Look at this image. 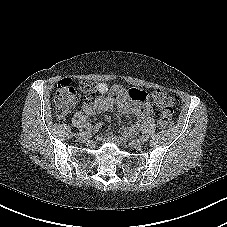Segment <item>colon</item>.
I'll use <instances>...</instances> for the list:
<instances>
[{
	"mask_svg": "<svg viewBox=\"0 0 227 227\" xmlns=\"http://www.w3.org/2000/svg\"><path fill=\"white\" fill-rule=\"evenodd\" d=\"M79 89L85 98H91L98 92V84L92 81L80 83ZM77 96L75 88L69 79L58 83L54 98L55 115L59 121H64L76 104ZM155 106L162 109L158 123L162 128H168L173 123L172 107L174 99L166 91L157 89L153 92Z\"/></svg>",
	"mask_w": 227,
	"mask_h": 227,
	"instance_id": "1",
	"label": "colon"
}]
</instances>
